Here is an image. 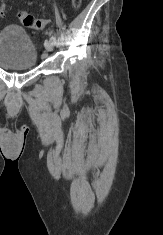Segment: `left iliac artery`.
<instances>
[{"mask_svg": "<svg viewBox=\"0 0 163 235\" xmlns=\"http://www.w3.org/2000/svg\"><path fill=\"white\" fill-rule=\"evenodd\" d=\"M52 34V32H50V35ZM51 39H53L54 40V44L56 43V38L52 35L51 36Z\"/></svg>", "mask_w": 163, "mask_h": 235, "instance_id": "obj_1", "label": "left iliac artery"}]
</instances>
